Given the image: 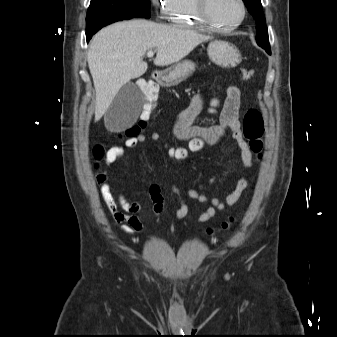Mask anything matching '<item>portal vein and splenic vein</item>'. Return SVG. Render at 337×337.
<instances>
[{"mask_svg": "<svg viewBox=\"0 0 337 337\" xmlns=\"http://www.w3.org/2000/svg\"><path fill=\"white\" fill-rule=\"evenodd\" d=\"M154 56V51H148L147 57L152 58Z\"/></svg>", "mask_w": 337, "mask_h": 337, "instance_id": "1", "label": "portal vein and splenic vein"}]
</instances>
